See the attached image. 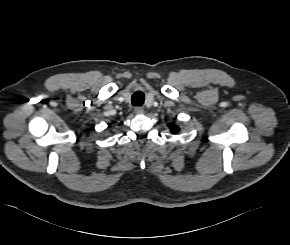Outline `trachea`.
I'll use <instances>...</instances> for the list:
<instances>
[{
    "label": "trachea",
    "mask_w": 290,
    "mask_h": 245,
    "mask_svg": "<svg viewBox=\"0 0 290 245\" xmlns=\"http://www.w3.org/2000/svg\"><path fill=\"white\" fill-rule=\"evenodd\" d=\"M144 102V94L140 91L132 95V104L135 106H141Z\"/></svg>",
    "instance_id": "obj_1"
}]
</instances>
